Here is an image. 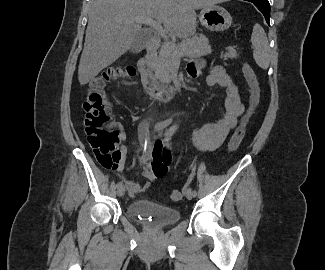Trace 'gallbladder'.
Masks as SVG:
<instances>
[{"label": "gallbladder", "mask_w": 325, "mask_h": 270, "mask_svg": "<svg viewBox=\"0 0 325 270\" xmlns=\"http://www.w3.org/2000/svg\"><path fill=\"white\" fill-rule=\"evenodd\" d=\"M152 34L147 30H141L135 37L131 46V51L139 52L145 48L146 44L151 40Z\"/></svg>", "instance_id": "gallbladder-1"}]
</instances>
